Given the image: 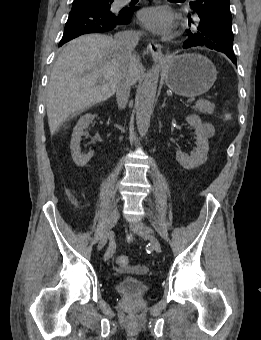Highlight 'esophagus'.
<instances>
[{
    "instance_id": "obj_1",
    "label": "esophagus",
    "mask_w": 261,
    "mask_h": 340,
    "mask_svg": "<svg viewBox=\"0 0 261 340\" xmlns=\"http://www.w3.org/2000/svg\"><path fill=\"white\" fill-rule=\"evenodd\" d=\"M147 51L151 53L154 60L163 59L162 46L158 43H149L147 46Z\"/></svg>"
}]
</instances>
